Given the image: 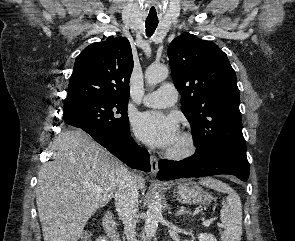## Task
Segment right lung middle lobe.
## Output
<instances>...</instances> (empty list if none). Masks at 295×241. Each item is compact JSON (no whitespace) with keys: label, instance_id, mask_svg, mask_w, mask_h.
Listing matches in <instances>:
<instances>
[{"label":"right lung middle lobe","instance_id":"dd1d6c3e","mask_svg":"<svg viewBox=\"0 0 295 241\" xmlns=\"http://www.w3.org/2000/svg\"><path fill=\"white\" fill-rule=\"evenodd\" d=\"M67 124L84 128L97 127L125 134L129 131L127 102H87L64 109Z\"/></svg>","mask_w":295,"mask_h":241}]
</instances>
